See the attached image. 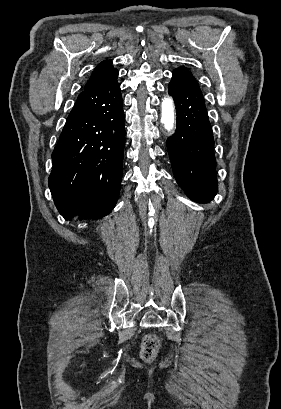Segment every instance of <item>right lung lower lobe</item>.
<instances>
[{
	"label": "right lung lower lobe",
	"mask_w": 281,
	"mask_h": 409,
	"mask_svg": "<svg viewBox=\"0 0 281 409\" xmlns=\"http://www.w3.org/2000/svg\"><path fill=\"white\" fill-rule=\"evenodd\" d=\"M117 76L79 94L52 153L49 188L65 219L102 218L116 205L125 139Z\"/></svg>",
	"instance_id": "obj_1"
}]
</instances>
